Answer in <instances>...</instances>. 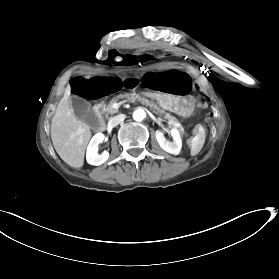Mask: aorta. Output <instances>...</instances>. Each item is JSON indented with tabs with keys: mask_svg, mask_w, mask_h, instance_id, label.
I'll list each match as a JSON object with an SVG mask.
<instances>
[{
	"mask_svg": "<svg viewBox=\"0 0 279 279\" xmlns=\"http://www.w3.org/2000/svg\"><path fill=\"white\" fill-rule=\"evenodd\" d=\"M145 117H146V113L141 108H139L133 112V119L135 121H142Z\"/></svg>",
	"mask_w": 279,
	"mask_h": 279,
	"instance_id": "762f6f07",
	"label": "aorta"
}]
</instances>
